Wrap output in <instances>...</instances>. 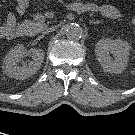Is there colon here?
Masks as SVG:
<instances>
[{
    "instance_id": "obj_1",
    "label": "colon",
    "mask_w": 135,
    "mask_h": 135,
    "mask_svg": "<svg viewBox=\"0 0 135 135\" xmlns=\"http://www.w3.org/2000/svg\"><path fill=\"white\" fill-rule=\"evenodd\" d=\"M133 26L135 27V15L132 17V20H131Z\"/></svg>"
}]
</instances>
